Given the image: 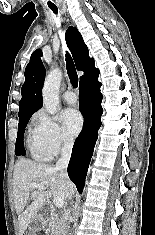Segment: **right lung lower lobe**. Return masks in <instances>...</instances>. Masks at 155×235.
Returning a JSON list of instances; mask_svg holds the SVG:
<instances>
[{
    "label": "right lung lower lobe",
    "instance_id": "1",
    "mask_svg": "<svg viewBox=\"0 0 155 235\" xmlns=\"http://www.w3.org/2000/svg\"><path fill=\"white\" fill-rule=\"evenodd\" d=\"M99 74L85 79L79 86L80 111L84 116V125L76 138L68 165V175L82 193L88 166L93 149L98 138V129L101 126L100 117L103 113L101 107L102 94Z\"/></svg>",
    "mask_w": 155,
    "mask_h": 235
}]
</instances>
